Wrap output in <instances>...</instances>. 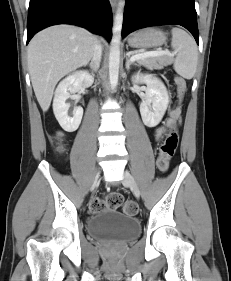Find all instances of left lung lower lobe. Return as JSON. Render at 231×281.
Instances as JSON below:
<instances>
[{"label":"left lung lower lobe","instance_id":"1","mask_svg":"<svg viewBox=\"0 0 231 281\" xmlns=\"http://www.w3.org/2000/svg\"><path fill=\"white\" fill-rule=\"evenodd\" d=\"M178 24L199 43L194 0H126L122 36L148 26Z\"/></svg>","mask_w":231,"mask_h":281}]
</instances>
